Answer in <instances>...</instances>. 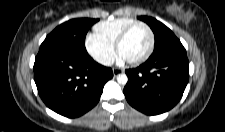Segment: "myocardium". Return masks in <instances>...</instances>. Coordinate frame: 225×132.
I'll return each mask as SVG.
<instances>
[{
    "mask_svg": "<svg viewBox=\"0 0 225 132\" xmlns=\"http://www.w3.org/2000/svg\"><path fill=\"white\" fill-rule=\"evenodd\" d=\"M139 26L144 27L149 34V38H150L149 47H148L147 51L139 58L133 59V60H127V62L131 65H137V64L143 63L151 56V54L154 50V45H155V36H154V32L151 29V27L144 22H135L123 30V32L119 35V37L117 38L116 43H115V49H116L117 53L120 54V48H121V45L123 44V42L129 36V34L132 32V30Z\"/></svg>",
    "mask_w": 225,
    "mask_h": 132,
    "instance_id": "1",
    "label": "myocardium"
}]
</instances>
